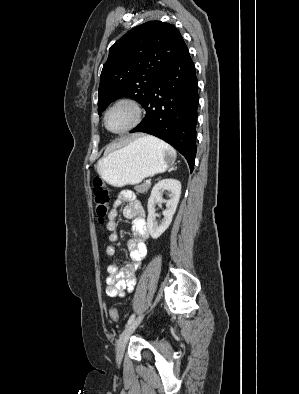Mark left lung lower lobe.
<instances>
[{
	"label": "left lung lower lobe",
	"instance_id": "0a47b994",
	"mask_svg": "<svg viewBox=\"0 0 299 394\" xmlns=\"http://www.w3.org/2000/svg\"><path fill=\"white\" fill-rule=\"evenodd\" d=\"M198 80L187 46L161 73L143 105L146 116L130 132L154 135L178 150L193 171L196 155Z\"/></svg>",
	"mask_w": 299,
	"mask_h": 394
}]
</instances>
